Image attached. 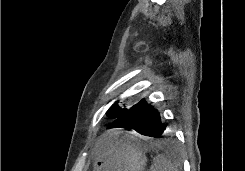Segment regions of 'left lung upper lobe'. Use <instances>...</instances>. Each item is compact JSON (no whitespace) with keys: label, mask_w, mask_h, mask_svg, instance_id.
<instances>
[{"label":"left lung upper lobe","mask_w":245,"mask_h":171,"mask_svg":"<svg viewBox=\"0 0 245 171\" xmlns=\"http://www.w3.org/2000/svg\"><path fill=\"white\" fill-rule=\"evenodd\" d=\"M130 105H120L118 102H115L109 110L106 112L107 116L115 119L111 124L118 121L120 117L130 108ZM110 124V125H111Z\"/></svg>","instance_id":"5c2ea615"}]
</instances>
